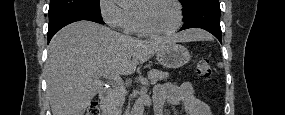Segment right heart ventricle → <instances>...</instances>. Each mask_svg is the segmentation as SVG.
<instances>
[{
	"label": "right heart ventricle",
	"instance_id": "obj_1",
	"mask_svg": "<svg viewBox=\"0 0 285 115\" xmlns=\"http://www.w3.org/2000/svg\"><path fill=\"white\" fill-rule=\"evenodd\" d=\"M132 31H134L138 34H144L139 27L138 20H137L136 16H133Z\"/></svg>",
	"mask_w": 285,
	"mask_h": 115
}]
</instances>
